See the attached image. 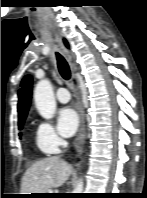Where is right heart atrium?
Segmentation results:
<instances>
[{"label": "right heart atrium", "instance_id": "obj_1", "mask_svg": "<svg viewBox=\"0 0 147 198\" xmlns=\"http://www.w3.org/2000/svg\"><path fill=\"white\" fill-rule=\"evenodd\" d=\"M36 137L38 147L45 154L57 152L63 143L62 138L58 135L54 126L47 121L39 122Z\"/></svg>", "mask_w": 147, "mask_h": 198}]
</instances>
